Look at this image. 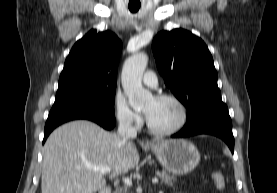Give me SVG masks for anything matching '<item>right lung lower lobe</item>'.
<instances>
[{
    "mask_svg": "<svg viewBox=\"0 0 277 193\" xmlns=\"http://www.w3.org/2000/svg\"><path fill=\"white\" fill-rule=\"evenodd\" d=\"M76 119L91 120L107 130L112 129L116 124L115 117L97 112L91 108L70 105H53L46 121L43 143L51 131L57 126Z\"/></svg>",
    "mask_w": 277,
    "mask_h": 193,
    "instance_id": "obj_1",
    "label": "right lung lower lobe"
}]
</instances>
